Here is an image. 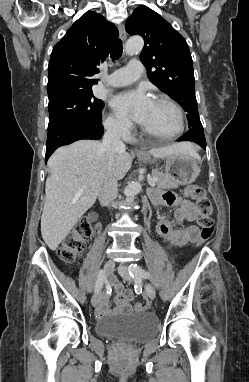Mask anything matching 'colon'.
I'll return each mask as SVG.
<instances>
[{
    "label": "colon",
    "mask_w": 249,
    "mask_h": 382,
    "mask_svg": "<svg viewBox=\"0 0 249 382\" xmlns=\"http://www.w3.org/2000/svg\"><path fill=\"white\" fill-rule=\"evenodd\" d=\"M185 197L196 204L200 217L198 224L200 235L196 240L197 245L207 242L213 235L214 222L212 219L213 206L210 198L206 195L204 189L199 185L187 186L184 190ZM92 236L91 223L86 220H80L67 235L59 248V256L66 263L74 262L84 251L86 242ZM136 309L141 311L145 308L144 304L137 303Z\"/></svg>",
    "instance_id": "5ec220e1"
}]
</instances>
